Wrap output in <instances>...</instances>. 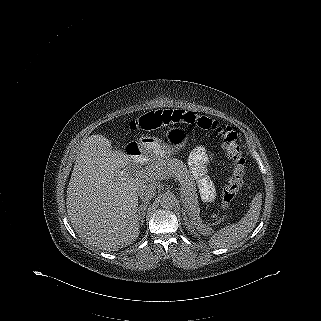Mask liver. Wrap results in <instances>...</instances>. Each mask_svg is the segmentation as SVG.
<instances>
[{
  "label": "liver",
  "instance_id": "6515ba94",
  "mask_svg": "<svg viewBox=\"0 0 321 321\" xmlns=\"http://www.w3.org/2000/svg\"><path fill=\"white\" fill-rule=\"evenodd\" d=\"M131 156L113 151L103 135H91L80 148L67 189V213L88 244L111 251L139 236L138 190L146 180L120 171Z\"/></svg>",
  "mask_w": 321,
  "mask_h": 321
}]
</instances>
